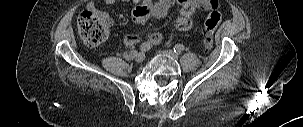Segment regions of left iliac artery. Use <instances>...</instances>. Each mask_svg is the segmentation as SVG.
Listing matches in <instances>:
<instances>
[{
    "mask_svg": "<svg viewBox=\"0 0 303 127\" xmlns=\"http://www.w3.org/2000/svg\"><path fill=\"white\" fill-rule=\"evenodd\" d=\"M184 50V46L182 44H177L174 46V52L181 53Z\"/></svg>",
    "mask_w": 303,
    "mask_h": 127,
    "instance_id": "left-iliac-artery-1",
    "label": "left iliac artery"
}]
</instances>
